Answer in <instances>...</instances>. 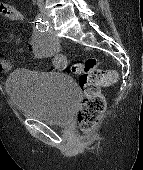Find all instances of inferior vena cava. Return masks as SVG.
<instances>
[{"mask_svg": "<svg viewBox=\"0 0 143 170\" xmlns=\"http://www.w3.org/2000/svg\"><path fill=\"white\" fill-rule=\"evenodd\" d=\"M37 1H38V6H39L40 10H43L44 0H37Z\"/></svg>", "mask_w": 143, "mask_h": 170, "instance_id": "1", "label": "inferior vena cava"}]
</instances>
